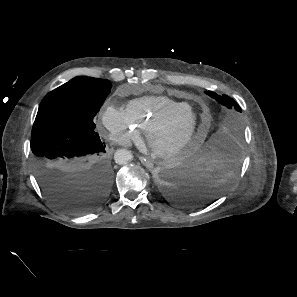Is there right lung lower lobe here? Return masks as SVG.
Returning a JSON list of instances; mask_svg holds the SVG:
<instances>
[{
  "instance_id": "98d812e1",
  "label": "right lung lower lobe",
  "mask_w": 297,
  "mask_h": 297,
  "mask_svg": "<svg viewBox=\"0 0 297 297\" xmlns=\"http://www.w3.org/2000/svg\"><path fill=\"white\" fill-rule=\"evenodd\" d=\"M36 177L48 199L61 210H97L109 195L113 171L98 133L79 122H61L31 133Z\"/></svg>"
}]
</instances>
